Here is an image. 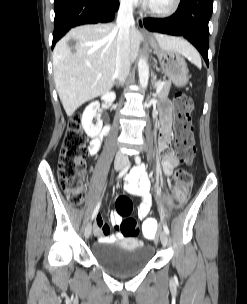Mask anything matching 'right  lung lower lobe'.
<instances>
[{
  "label": "right lung lower lobe",
  "instance_id": "right-lung-lower-lobe-1",
  "mask_svg": "<svg viewBox=\"0 0 247 304\" xmlns=\"http://www.w3.org/2000/svg\"><path fill=\"white\" fill-rule=\"evenodd\" d=\"M55 20L52 49L72 27L113 20L119 8L118 0H55Z\"/></svg>",
  "mask_w": 247,
  "mask_h": 304
}]
</instances>
